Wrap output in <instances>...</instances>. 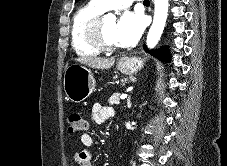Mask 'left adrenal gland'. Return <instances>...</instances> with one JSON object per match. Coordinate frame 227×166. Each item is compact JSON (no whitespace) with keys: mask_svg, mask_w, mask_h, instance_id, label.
Here are the masks:
<instances>
[{"mask_svg":"<svg viewBox=\"0 0 227 166\" xmlns=\"http://www.w3.org/2000/svg\"><path fill=\"white\" fill-rule=\"evenodd\" d=\"M131 105H132V103H131V97H128V100H127V106H128V108H131Z\"/></svg>","mask_w":227,"mask_h":166,"instance_id":"a2214340","label":"left adrenal gland"}]
</instances>
